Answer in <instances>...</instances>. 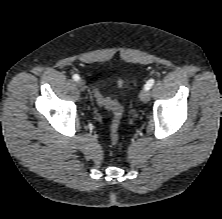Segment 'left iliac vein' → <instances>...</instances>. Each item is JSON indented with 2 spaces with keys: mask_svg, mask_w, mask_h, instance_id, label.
Instances as JSON below:
<instances>
[{
  "mask_svg": "<svg viewBox=\"0 0 222 219\" xmlns=\"http://www.w3.org/2000/svg\"><path fill=\"white\" fill-rule=\"evenodd\" d=\"M139 98L142 102H148L150 100V91L143 89L139 94Z\"/></svg>",
  "mask_w": 222,
  "mask_h": 219,
  "instance_id": "obj_1",
  "label": "left iliac vein"
}]
</instances>
